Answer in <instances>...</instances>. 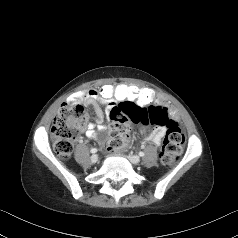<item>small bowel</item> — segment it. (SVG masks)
Listing matches in <instances>:
<instances>
[{
  "label": "small bowel",
  "mask_w": 238,
  "mask_h": 238,
  "mask_svg": "<svg viewBox=\"0 0 238 238\" xmlns=\"http://www.w3.org/2000/svg\"><path fill=\"white\" fill-rule=\"evenodd\" d=\"M69 102H77V103L83 102L86 104H92L94 106L97 125L95 123L89 122L87 116H84L81 120V128L85 130L87 136L91 138H97V128L99 130H103L105 128V125L103 124L105 114L102 109V106H105L108 109L107 115L109 117L110 110L122 104V103L105 102L101 100L97 94V90L94 89L76 93L69 100ZM172 110L173 115L170 119L175 120L178 117V113L176 109L172 108ZM153 126L154 128L151 130V132L148 133L146 138L153 144L159 145L165 134L166 126L165 124L162 126H157L153 124Z\"/></svg>",
  "instance_id": "obj_1"
}]
</instances>
